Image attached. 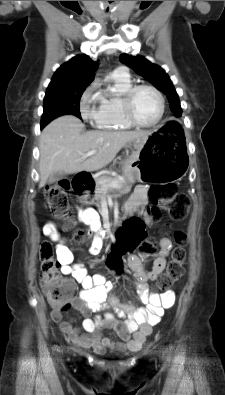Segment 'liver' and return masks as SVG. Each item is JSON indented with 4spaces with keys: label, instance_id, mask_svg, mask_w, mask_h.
<instances>
[{
    "label": "liver",
    "instance_id": "obj_1",
    "mask_svg": "<svg viewBox=\"0 0 225 395\" xmlns=\"http://www.w3.org/2000/svg\"><path fill=\"white\" fill-rule=\"evenodd\" d=\"M75 116H61L49 123L40 136L39 188L53 173L73 174L104 168L131 142H145L151 131H90ZM96 153L88 158L83 155Z\"/></svg>",
    "mask_w": 225,
    "mask_h": 395
}]
</instances>
